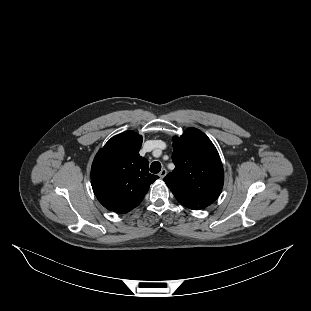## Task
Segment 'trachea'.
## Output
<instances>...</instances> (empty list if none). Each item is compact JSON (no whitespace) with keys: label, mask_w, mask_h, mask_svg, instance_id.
I'll return each instance as SVG.
<instances>
[{"label":"trachea","mask_w":311,"mask_h":311,"mask_svg":"<svg viewBox=\"0 0 311 311\" xmlns=\"http://www.w3.org/2000/svg\"><path fill=\"white\" fill-rule=\"evenodd\" d=\"M161 170V164L158 161H154L150 166L151 173H159Z\"/></svg>","instance_id":"3493384b"}]
</instances>
